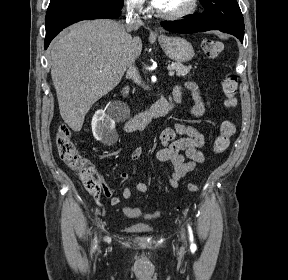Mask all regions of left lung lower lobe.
Returning a JSON list of instances; mask_svg holds the SVG:
<instances>
[{"mask_svg":"<svg viewBox=\"0 0 288 280\" xmlns=\"http://www.w3.org/2000/svg\"><path fill=\"white\" fill-rule=\"evenodd\" d=\"M161 25L172 32L195 33L208 30H220L237 37L243 43L244 33H239L232 28L221 25L218 22L207 18L202 14H193L183 20L163 21Z\"/></svg>","mask_w":288,"mask_h":280,"instance_id":"0a47b994","label":"left lung lower lobe"}]
</instances>
